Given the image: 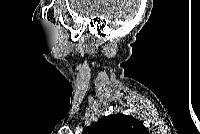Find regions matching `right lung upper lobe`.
Segmentation results:
<instances>
[{
    "instance_id": "right-lung-upper-lobe-1",
    "label": "right lung upper lobe",
    "mask_w": 200,
    "mask_h": 134,
    "mask_svg": "<svg viewBox=\"0 0 200 134\" xmlns=\"http://www.w3.org/2000/svg\"><path fill=\"white\" fill-rule=\"evenodd\" d=\"M145 126L136 118L124 114L108 115L93 123L86 134H146Z\"/></svg>"
}]
</instances>
